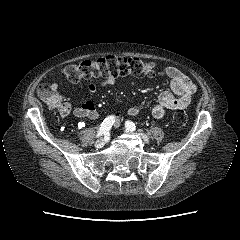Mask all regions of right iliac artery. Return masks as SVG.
I'll list each match as a JSON object with an SVG mask.
<instances>
[{
  "mask_svg": "<svg viewBox=\"0 0 240 240\" xmlns=\"http://www.w3.org/2000/svg\"><path fill=\"white\" fill-rule=\"evenodd\" d=\"M115 122V117L114 116H108L107 118H105V120L102 122L96 137H100L106 133L109 132V130L111 129L112 125Z\"/></svg>",
  "mask_w": 240,
  "mask_h": 240,
  "instance_id": "obj_1",
  "label": "right iliac artery"
}]
</instances>
